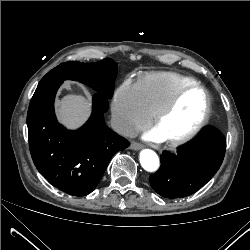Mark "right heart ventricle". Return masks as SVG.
I'll list each match as a JSON object with an SVG mask.
<instances>
[{
  "mask_svg": "<svg viewBox=\"0 0 250 250\" xmlns=\"http://www.w3.org/2000/svg\"><path fill=\"white\" fill-rule=\"evenodd\" d=\"M193 82L194 79L175 72H155L139 78L135 85L152 118L178 88Z\"/></svg>",
  "mask_w": 250,
  "mask_h": 250,
  "instance_id": "obj_1",
  "label": "right heart ventricle"
}]
</instances>
